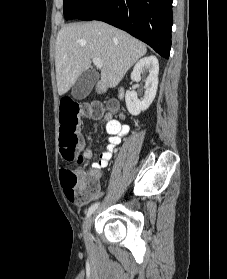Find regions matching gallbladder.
<instances>
[{
  "mask_svg": "<svg viewBox=\"0 0 227 279\" xmlns=\"http://www.w3.org/2000/svg\"><path fill=\"white\" fill-rule=\"evenodd\" d=\"M98 79L95 70L84 71L76 80L72 87L71 95L73 98L81 100L89 95Z\"/></svg>",
  "mask_w": 227,
  "mask_h": 279,
  "instance_id": "1",
  "label": "gallbladder"
}]
</instances>
